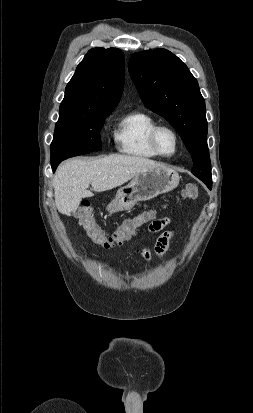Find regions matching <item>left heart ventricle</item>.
I'll return each instance as SVG.
<instances>
[{
    "instance_id": "left-heart-ventricle-1",
    "label": "left heart ventricle",
    "mask_w": 253,
    "mask_h": 413,
    "mask_svg": "<svg viewBox=\"0 0 253 413\" xmlns=\"http://www.w3.org/2000/svg\"><path fill=\"white\" fill-rule=\"evenodd\" d=\"M157 141L158 146L163 153L172 154L175 151L176 141L170 131L166 129L160 130L157 136Z\"/></svg>"
}]
</instances>
